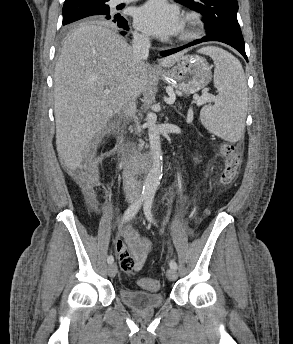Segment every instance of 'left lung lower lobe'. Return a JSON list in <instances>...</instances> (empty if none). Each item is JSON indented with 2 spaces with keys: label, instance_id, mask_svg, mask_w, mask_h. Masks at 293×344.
<instances>
[{
  "label": "left lung lower lobe",
  "instance_id": "left-lung-lower-lobe-1",
  "mask_svg": "<svg viewBox=\"0 0 293 344\" xmlns=\"http://www.w3.org/2000/svg\"><path fill=\"white\" fill-rule=\"evenodd\" d=\"M208 41H218V42H222V43L228 44V45L232 46L233 48H235L237 51H239L243 55V57L248 61L246 53H245V46H244V44H239V43H236V42H234V41H232L230 39H227V38H224V37H217V36H213V35L204 36L203 38H201L199 40H196L194 42H191V43H189L187 45H184L182 47H179V48L162 51L161 52V56L165 57V56L174 54V53H176L178 51H181V50H183V49H185L187 47H190V46L202 43V42H208Z\"/></svg>",
  "mask_w": 293,
  "mask_h": 344
}]
</instances>
